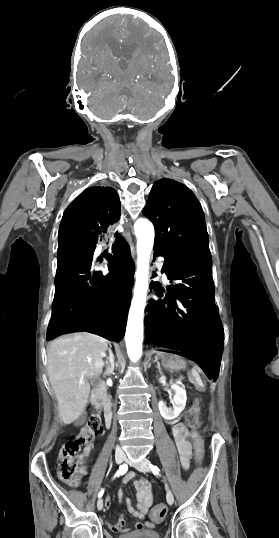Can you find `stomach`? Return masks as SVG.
Wrapping results in <instances>:
<instances>
[{
    "label": "stomach",
    "instance_id": "0dacf381",
    "mask_svg": "<svg viewBox=\"0 0 279 538\" xmlns=\"http://www.w3.org/2000/svg\"><path fill=\"white\" fill-rule=\"evenodd\" d=\"M161 362L168 370H175L181 366L177 353H162Z\"/></svg>",
    "mask_w": 279,
    "mask_h": 538
}]
</instances>
